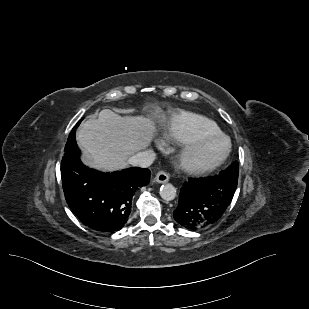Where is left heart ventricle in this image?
Segmentation results:
<instances>
[{
	"instance_id": "1",
	"label": "left heart ventricle",
	"mask_w": 309,
	"mask_h": 309,
	"mask_svg": "<svg viewBox=\"0 0 309 309\" xmlns=\"http://www.w3.org/2000/svg\"><path fill=\"white\" fill-rule=\"evenodd\" d=\"M225 149L223 141H213L205 144L194 156L199 162H209L217 158Z\"/></svg>"
}]
</instances>
